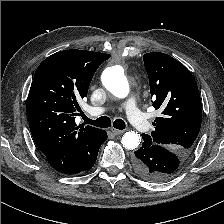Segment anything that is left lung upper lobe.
Listing matches in <instances>:
<instances>
[{
    "label": "left lung upper lobe",
    "mask_w": 224,
    "mask_h": 224,
    "mask_svg": "<svg viewBox=\"0 0 224 224\" xmlns=\"http://www.w3.org/2000/svg\"><path fill=\"white\" fill-rule=\"evenodd\" d=\"M143 60L152 104L162 115L155 119L151 136L142 134V138L178 154L182 166L201 127L202 105L197 84L182 63L165 53H147ZM177 172L164 175V180H169Z\"/></svg>",
    "instance_id": "1"
}]
</instances>
